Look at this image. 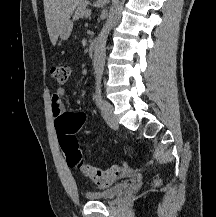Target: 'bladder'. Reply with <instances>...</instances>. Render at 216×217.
I'll return each instance as SVG.
<instances>
[{
  "mask_svg": "<svg viewBox=\"0 0 216 217\" xmlns=\"http://www.w3.org/2000/svg\"><path fill=\"white\" fill-rule=\"evenodd\" d=\"M128 186V183H118L102 191L87 192L85 196L87 199L95 202H110L122 195Z\"/></svg>",
  "mask_w": 216,
  "mask_h": 217,
  "instance_id": "obj_1",
  "label": "bladder"
}]
</instances>
